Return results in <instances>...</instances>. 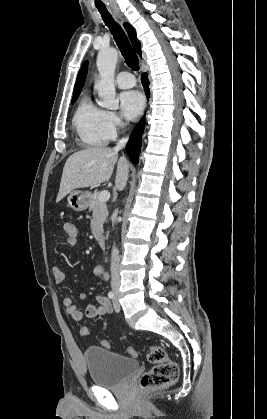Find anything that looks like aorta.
Instances as JSON below:
<instances>
[{"label":"aorta","instance_id":"1","mask_svg":"<svg viewBox=\"0 0 267 419\" xmlns=\"http://www.w3.org/2000/svg\"><path fill=\"white\" fill-rule=\"evenodd\" d=\"M118 60V52L114 48L102 49L97 56V69L100 79L96 82L95 88L98 91L101 107L116 110L119 101L116 98L114 75Z\"/></svg>","mask_w":267,"mask_h":419}]
</instances>
